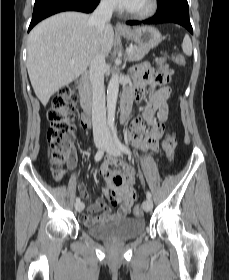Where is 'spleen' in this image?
<instances>
[{"mask_svg": "<svg viewBox=\"0 0 229 280\" xmlns=\"http://www.w3.org/2000/svg\"><path fill=\"white\" fill-rule=\"evenodd\" d=\"M182 49L186 55L190 56L192 54V43L188 35H185L183 39Z\"/></svg>", "mask_w": 229, "mask_h": 280, "instance_id": "3e777b00", "label": "spleen"}]
</instances>
